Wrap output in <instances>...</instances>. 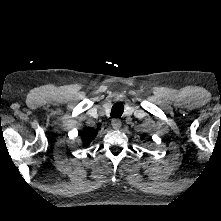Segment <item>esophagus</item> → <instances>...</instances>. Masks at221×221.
<instances>
[{"label": "esophagus", "instance_id": "obj_1", "mask_svg": "<svg viewBox=\"0 0 221 221\" xmlns=\"http://www.w3.org/2000/svg\"><path fill=\"white\" fill-rule=\"evenodd\" d=\"M111 124H112V127L115 129V130H118L120 129L122 123L119 119H112L111 121Z\"/></svg>", "mask_w": 221, "mask_h": 221}]
</instances>
